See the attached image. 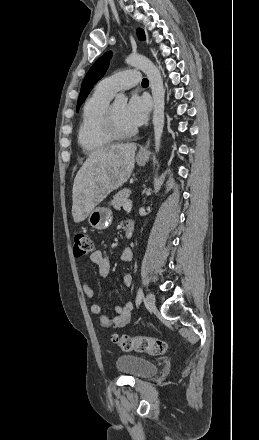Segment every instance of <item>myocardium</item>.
<instances>
[{
    "label": "myocardium",
    "mask_w": 259,
    "mask_h": 440,
    "mask_svg": "<svg viewBox=\"0 0 259 440\" xmlns=\"http://www.w3.org/2000/svg\"><path fill=\"white\" fill-rule=\"evenodd\" d=\"M104 130L112 140L128 139L137 133L136 128L127 131L119 128L115 119L113 105H109L106 110L104 118Z\"/></svg>",
    "instance_id": "obj_1"
}]
</instances>
